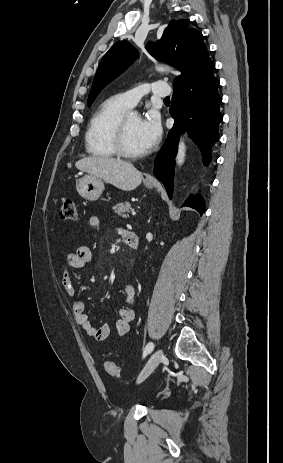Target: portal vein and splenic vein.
Instances as JSON below:
<instances>
[{
    "label": "portal vein and splenic vein",
    "instance_id": "18ae733b",
    "mask_svg": "<svg viewBox=\"0 0 283 463\" xmlns=\"http://www.w3.org/2000/svg\"><path fill=\"white\" fill-rule=\"evenodd\" d=\"M132 215H136V212H135V211H133V212H132Z\"/></svg>",
    "mask_w": 283,
    "mask_h": 463
}]
</instances>
